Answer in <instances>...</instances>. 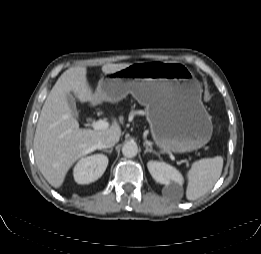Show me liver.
I'll list each match as a JSON object with an SVG mask.
<instances>
[{"label":"liver","mask_w":261,"mask_h":254,"mask_svg":"<svg viewBox=\"0 0 261 254\" xmlns=\"http://www.w3.org/2000/svg\"><path fill=\"white\" fill-rule=\"evenodd\" d=\"M129 65L104 64L102 72L110 74ZM70 92L81 103L96 101L97 95L89 86L85 66L69 68L59 77L44 102L37 123L34 136L36 164L54 188L63 184L68 170L79 158L101 149L98 145L104 136L121 135L116 120L104 130L80 129L66 99Z\"/></svg>","instance_id":"obj_1"}]
</instances>
